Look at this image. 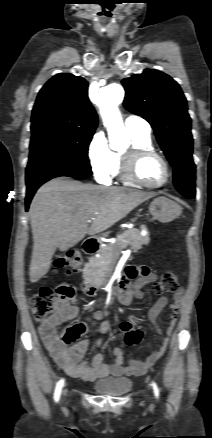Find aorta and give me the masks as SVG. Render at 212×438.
Masks as SVG:
<instances>
[{"label":"aorta","instance_id":"aorta-1","mask_svg":"<svg viewBox=\"0 0 212 438\" xmlns=\"http://www.w3.org/2000/svg\"><path fill=\"white\" fill-rule=\"evenodd\" d=\"M124 89L120 84L111 83L100 90L97 104L103 123L108 131L110 147L120 149L129 142L127 129L124 127L123 120L118 109V105L123 101Z\"/></svg>","mask_w":212,"mask_h":438}]
</instances>
